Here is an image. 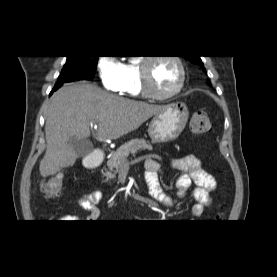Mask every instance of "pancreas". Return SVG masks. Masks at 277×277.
I'll list each match as a JSON object with an SVG mask.
<instances>
[{
    "instance_id": "cf45deb5",
    "label": "pancreas",
    "mask_w": 277,
    "mask_h": 277,
    "mask_svg": "<svg viewBox=\"0 0 277 277\" xmlns=\"http://www.w3.org/2000/svg\"><path fill=\"white\" fill-rule=\"evenodd\" d=\"M152 150V146L144 139H133L120 148L107 161L108 171H106V177L112 179L115 177L118 169L127 162L129 154H135L138 150Z\"/></svg>"
}]
</instances>
